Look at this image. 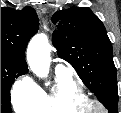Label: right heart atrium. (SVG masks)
Returning <instances> with one entry per match:
<instances>
[{"label": "right heart atrium", "instance_id": "obj_1", "mask_svg": "<svg viewBox=\"0 0 121 113\" xmlns=\"http://www.w3.org/2000/svg\"><path fill=\"white\" fill-rule=\"evenodd\" d=\"M37 86L29 77L17 79L11 89V102L15 109L22 102H30L34 99Z\"/></svg>", "mask_w": 121, "mask_h": 113}]
</instances>
